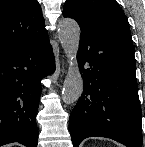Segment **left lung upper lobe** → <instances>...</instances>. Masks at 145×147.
Segmentation results:
<instances>
[{
    "instance_id": "5c2ea615",
    "label": "left lung upper lobe",
    "mask_w": 145,
    "mask_h": 147,
    "mask_svg": "<svg viewBox=\"0 0 145 147\" xmlns=\"http://www.w3.org/2000/svg\"><path fill=\"white\" fill-rule=\"evenodd\" d=\"M63 16L87 25H120L129 29L127 17L115 0H66Z\"/></svg>"
}]
</instances>
